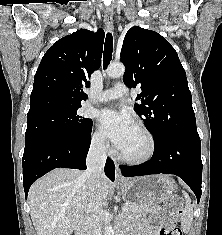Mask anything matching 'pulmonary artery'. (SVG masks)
I'll use <instances>...</instances> for the list:
<instances>
[{
    "label": "pulmonary artery",
    "instance_id": "1",
    "mask_svg": "<svg viewBox=\"0 0 222 235\" xmlns=\"http://www.w3.org/2000/svg\"><path fill=\"white\" fill-rule=\"evenodd\" d=\"M129 93L128 88L124 84H117L114 87L104 90L97 98L96 102H108L111 100L119 99L127 96Z\"/></svg>",
    "mask_w": 222,
    "mask_h": 235
}]
</instances>
